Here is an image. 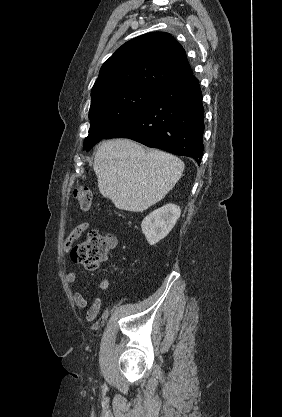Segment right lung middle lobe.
<instances>
[{
  "mask_svg": "<svg viewBox=\"0 0 282 417\" xmlns=\"http://www.w3.org/2000/svg\"><path fill=\"white\" fill-rule=\"evenodd\" d=\"M156 93L141 89H125L92 96L89 111L91 127L83 149L89 151L149 103Z\"/></svg>",
  "mask_w": 282,
  "mask_h": 417,
  "instance_id": "1",
  "label": "right lung middle lobe"
}]
</instances>
